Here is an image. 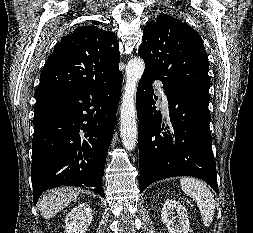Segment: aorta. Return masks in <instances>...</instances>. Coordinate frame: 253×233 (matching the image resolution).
<instances>
[{
	"mask_svg": "<svg viewBox=\"0 0 253 233\" xmlns=\"http://www.w3.org/2000/svg\"><path fill=\"white\" fill-rule=\"evenodd\" d=\"M144 69V61L139 57L130 59L126 66V83L120 107V136L128 151H132L137 143L135 94Z\"/></svg>",
	"mask_w": 253,
	"mask_h": 233,
	"instance_id": "1",
	"label": "aorta"
}]
</instances>
